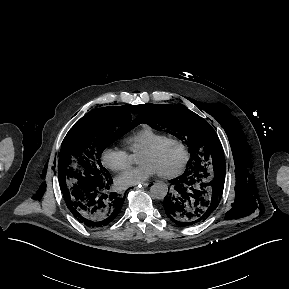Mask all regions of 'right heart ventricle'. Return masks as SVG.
I'll return each instance as SVG.
<instances>
[{
  "instance_id": "obj_1",
  "label": "right heart ventricle",
  "mask_w": 289,
  "mask_h": 289,
  "mask_svg": "<svg viewBox=\"0 0 289 289\" xmlns=\"http://www.w3.org/2000/svg\"><path fill=\"white\" fill-rule=\"evenodd\" d=\"M166 137V134L161 133L150 126H143L126 135L124 141L128 144L131 151L137 152L142 151Z\"/></svg>"
}]
</instances>
